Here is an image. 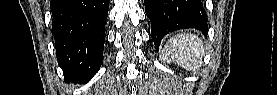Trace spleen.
Masks as SVG:
<instances>
[{
	"instance_id": "3e777b00",
	"label": "spleen",
	"mask_w": 277,
	"mask_h": 95,
	"mask_svg": "<svg viewBox=\"0 0 277 95\" xmlns=\"http://www.w3.org/2000/svg\"><path fill=\"white\" fill-rule=\"evenodd\" d=\"M163 52V60L173 61L186 70L195 71L201 67L204 46L198 36L182 33L168 40Z\"/></svg>"
}]
</instances>
